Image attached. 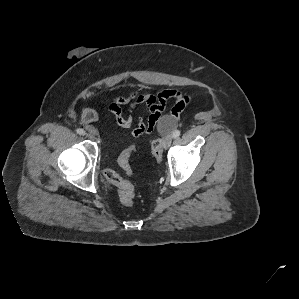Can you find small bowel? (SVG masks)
Returning a JSON list of instances; mask_svg holds the SVG:
<instances>
[{"label":"small bowel","mask_w":299,"mask_h":299,"mask_svg":"<svg viewBox=\"0 0 299 299\" xmlns=\"http://www.w3.org/2000/svg\"><path fill=\"white\" fill-rule=\"evenodd\" d=\"M170 100L174 101V105L171 108L169 117L176 121L188 107L190 98L174 89L164 90L157 95L135 90L127 96H114L108 111L114 116L120 127L130 129L132 136L140 137L153 132ZM139 105L146 107L148 117L146 121L140 118L134 123L132 110ZM123 107L127 109V113H124ZM81 116L88 130L95 132L96 129L93 124L100 121V116L90 108L84 109Z\"/></svg>","instance_id":"c3829d8e"}]
</instances>
